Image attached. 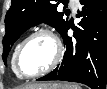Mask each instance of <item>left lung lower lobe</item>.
<instances>
[{
    "label": "left lung lower lobe",
    "instance_id": "1",
    "mask_svg": "<svg viewBox=\"0 0 107 89\" xmlns=\"http://www.w3.org/2000/svg\"><path fill=\"white\" fill-rule=\"evenodd\" d=\"M83 5L74 39L61 34L66 45L63 61L38 80L79 82L92 89H105L107 82V0H80Z\"/></svg>",
    "mask_w": 107,
    "mask_h": 89
}]
</instances>
